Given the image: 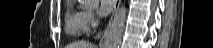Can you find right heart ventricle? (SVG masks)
<instances>
[{
    "label": "right heart ventricle",
    "mask_w": 213,
    "mask_h": 48,
    "mask_svg": "<svg viewBox=\"0 0 213 48\" xmlns=\"http://www.w3.org/2000/svg\"><path fill=\"white\" fill-rule=\"evenodd\" d=\"M84 12L76 9L71 3L68 4L65 13V30L73 36H81L86 32V27L83 22Z\"/></svg>",
    "instance_id": "obj_1"
}]
</instances>
